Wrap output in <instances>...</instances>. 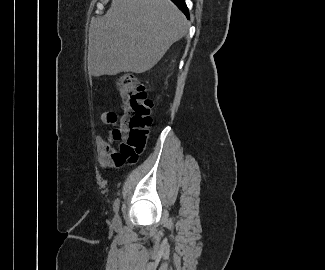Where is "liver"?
I'll return each instance as SVG.
<instances>
[{
  "instance_id": "obj_1",
  "label": "liver",
  "mask_w": 325,
  "mask_h": 270,
  "mask_svg": "<svg viewBox=\"0 0 325 270\" xmlns=\"http://www.w3.org/2000/svg\"><path fill=\"white\" fill-rule=\"evenodd\" d=\"M186 32L187 20L170 0H112L90 24L89 73L146 72Z\"/></svg>"
}]
</instances>
